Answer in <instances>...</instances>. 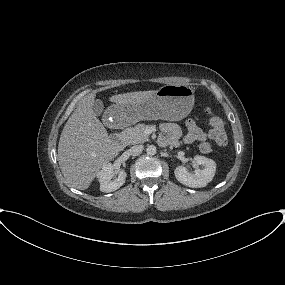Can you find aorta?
<instances>
[{
    "mask_svg": "<svg viewBox=\"0 0 285 285\" xmlns=\"http://www.w3.org/2000/svg\"><path fill=\"white\" fill-rule=\"evenodd\" d=\"M146 152L148 155H155L156 154V147L154 145H148Z\"/></svg>",
    "mask_w": 285,
    "mask_h": 285,
    "instance_id": "1",
    "label": "aorta"
}]
</instances>
